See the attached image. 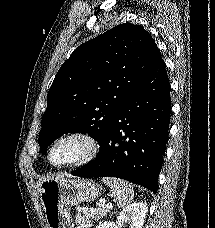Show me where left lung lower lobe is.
I'll return each mask as SVG.
<instances>
[{"instance_id": "0a47b994", "label": "left lung lower lobe", "mask_w": 215, "mask_h": 228, "mask_svg": "<svg viewBox=\"0 0 215 228\" xmlns=\"http://www.w3.org/2000/svg\"><path fill=\"white\" fill-rule=\"evenodd\" d=\"M170 115V83L159 53L143 81L118 110L96 159L72 175L117 177L156 193Z\"/></svg>"}]
</instances>
